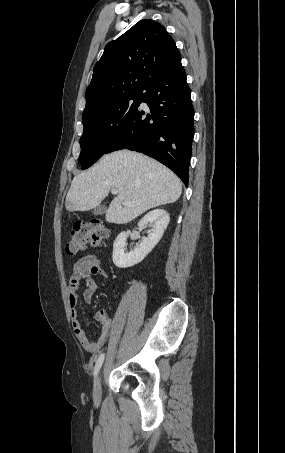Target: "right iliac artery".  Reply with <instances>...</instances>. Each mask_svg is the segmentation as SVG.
Returning a JSON list of instances; mask_svg holds the SVG:
<instances>
[{"instance_id":"82829eb1","label":"right iliac artery","mask_w":285,"mask_h":453,"mask_svg":"<svg viewBox=\"0 0 285 453\" xmlns=\"http://www.w3.org/2000/svg\"><path fill=\"white\" fill-rule=\"evenodd\" d=\"M103 361H104V354H101L95 364L94 377L97 375L99 369L101 368Z\"/></svg>"}]
</instances>
